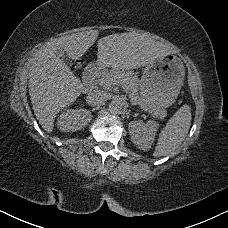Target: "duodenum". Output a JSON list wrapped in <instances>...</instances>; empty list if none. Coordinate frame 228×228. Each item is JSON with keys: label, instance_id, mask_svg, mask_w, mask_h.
<instances>
[{"label": "duodenum", "instance_id": "410a0bca", "mask_svg": "<svg viewBox=\"0 0 228 228\" xmlns=\"http://www.w3.org/2000/svg\"><path fill=\"white\" fill-rule=\"evenodd\" d=\"M99 71L100 70L97 65H90L88 68H86L85 73L81 75V82L86 85L90 84L92 79L99 74Z\"/></svg>", "mask_w": 228, "mask_h": 228}]
</instances>
